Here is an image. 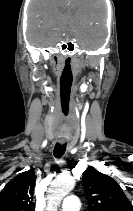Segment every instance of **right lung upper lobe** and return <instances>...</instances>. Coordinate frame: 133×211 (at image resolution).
<instances>
[{"label":"right lung upper lobe","instance_id":"obj_1","mask_svg":"<svg viewBox=\"0 0 133 211\" xmlns=\"http://www.w3.org/2000/svg\"><path fill=\"white\" fill-rule=\"evenodd\" d=\"M36 177L32 170L22 172L0 193V211H31Z\"/></svg>","mask_w":133,"mask_h":211}]
</instances>
